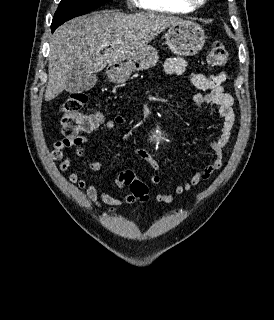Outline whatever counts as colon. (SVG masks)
I'll list each match as a JSON object with an SVG mask.
<instances>
[{"instance_id": "obj_1", "label": "colon", "mask_w": 274, "mask_h": 320, "mask_svg": "<svg viewBox=\"0 0 274 320\" xmlns=\"http://www.w3.org/2000/svg\"><path fill=\"white\" fill-rule=\"evenodd\" d=\"M208 62L212 66L222 67L228 62V53L222 44L211 45L208 51ZM88 96L82 92L71 94L59 106L61 116V132L62 134H85L88 130L90 120H103L100 113L84 111L87 104ZM58 157V156H56ZM118 181L123 185H130L131 196L135 199H146L148 190L146 185L131 171L126 169L118 170Z\"/></svg>"}]
</instances>
